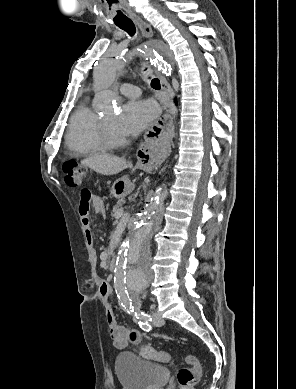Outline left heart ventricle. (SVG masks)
<instances>
[{
  "instance_id": "1",
  "label": "left heart ventricle",
  "mask_w": 296,
  "mask_h": 389,
  "mask_svg": "<svg viewBox=\"0 0 296 389\" xmlns=\"http://www.w3.org/2000/svg\"><path fill=\"white\" fill-rule=\"evenodd\" d=\"M105 122L107 123L108 127L111 129L112 132L115 134L121 135V133L117 129V116L116 115H108L103 118Z\"/></svg>"
}]
</instances>
